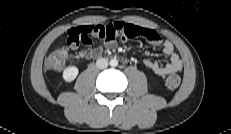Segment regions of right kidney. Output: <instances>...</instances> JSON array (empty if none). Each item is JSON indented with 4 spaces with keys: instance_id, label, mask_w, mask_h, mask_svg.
<instances>
[{
    "instance_id": "ca27d5eb",
    "label": "right kidney",
    "mask_w": 231,
    "mask_h": 134,
    "mask_svg": "<svg viewBox=\"0 0 231 134\" xmlns=\"http://www.w3.org/2000/svg\"><path fill=\"white\" fill-rule=\"evenodd\" d=\"M78 75V68L75 66L67 67L63 71V78L67 82L73 81Z\"/></svg>"
}]
</instances>
